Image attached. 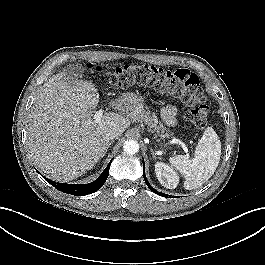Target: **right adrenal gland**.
Segmentation results:
<instances>
[{"mask_svg":"<svg viewBox=\"0 0 265 265\" xmlns=\"http://www.w3.org/2000/svg\"><path fill=\"white\" fill-rule=\"evenodd\" d=\"M112 143H113L112 141L109 143L108 148L110 147V145H111ZM106 152H107V150L105 151L104 155L106 154ZM104 155H103V156H104ZM103 156H102V157H103Z\"/></svg>","mask_w":265,"mask_h":265,"instance_id":"obj_1","label":"right adrenal gland"}]
</instances>
